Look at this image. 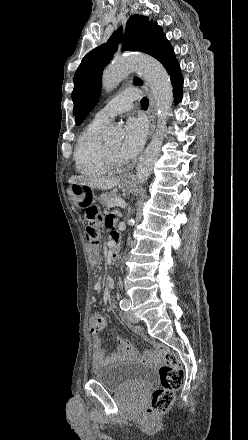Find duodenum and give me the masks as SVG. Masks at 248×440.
I'll return each instance as SVG.
<instances>
[{"mask_svg": "<svg viewBox=\"0 0 248 440\" xmlns=\"http://www.w3.org/2000/svg\"><path fill=\"white\" fill-rule=\"evenodd\" d=\"M119 252V238L116 235L112 236L111 240V250L109 254L110 261L114 263L118 257Z\"/></svg>", "mask_w": 248, "mask_h": 440, "instance_id": "obj_1", "label": "duodenum"}]
</instances>
